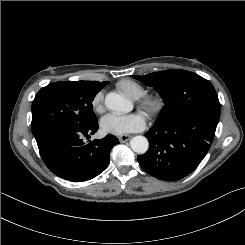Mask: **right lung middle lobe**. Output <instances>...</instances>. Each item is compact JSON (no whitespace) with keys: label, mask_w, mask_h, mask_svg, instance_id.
<instances>
[{"label":"right lung middle lobe","mask_w":245,"mask_h":245,"mask_svg":"<svg viewBox=\"0 0 245 245\" xmlns=\"http://www.w3.org/2000/svg\"><path fill=\"white\" fill-rule=\"evenodd\" d=\"M107 83L59 81L43 87L32 102L33 135L53 124L81 129L98 122L92 101Z\"/></svg>","instance_id":"obj_1"}]
</instances>
